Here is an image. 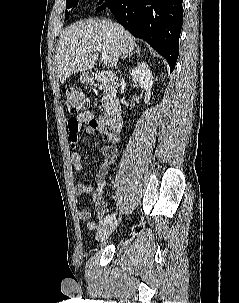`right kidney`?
<instances>
[{
  "label": "right kidney",
  "mask_w": 239,
  "mask_h": 303,
  "mask_svg": "<svg viewBox=\"0 0 239 303\" xmlns=\"http://www.w3.org/2000/svg\"><path fill=\"white\" fill-rule=\"evenodd\" d=\"M131 76L135 84H138L140 88L146 90L144 102L148 104L153 85V76L149 66L145 62L137 64V66L132 69Z\"/></svg>",
  "instance_id": "ca27d5eb"
}]
</instances>
